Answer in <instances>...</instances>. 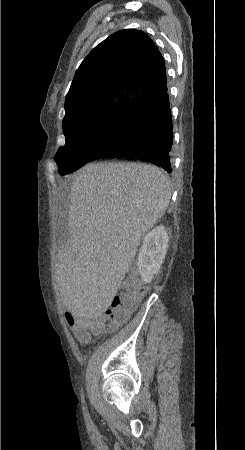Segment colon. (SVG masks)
Here are the masks:
<instances>
[{
  "instance_id": "obj_1",
  "label": "colon",
  "mask_w": 245,
  "mask_h": 450,
  "mask_svg": "<svg viewBox=\"0 0 245 450\" xmlns=\"http://www.w3.org/2000/svg\"><path fill=\"white\" fill-rule=\"evenodd\" d=\"M122 286L124 290L113 297L107 308L76 325L77 331L83 337L88 335L89 330H115L123 325L136 310L140 299L145 293V288L138 284L135 275H129L123 281Z\"/></svg>"
}]
</instances>
